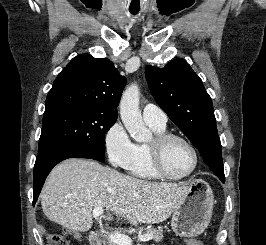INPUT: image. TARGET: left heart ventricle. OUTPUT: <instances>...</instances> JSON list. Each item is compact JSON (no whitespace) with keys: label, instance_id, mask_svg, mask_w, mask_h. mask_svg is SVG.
<instances>
[{"label":"left heart ventricle","instance_id":"b2bd125f","mask_svg":"<svg viewBox=\"0 0 266 245\" xmlns=\"http://www.w3.org/2000/svg\"><path fill=\"white\" fill-rule=\"evenodd\" d=\"M194 164V155L190 147L183 141L173 139L163 150V165L173 177H182L188 174Z\"/></svg>","mask_w":266,"mask_h":245}]
</instances>
